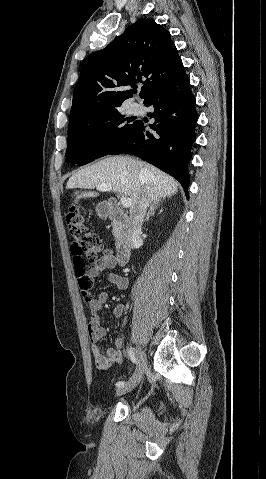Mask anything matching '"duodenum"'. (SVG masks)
<instances>
[{"instance_id": "duodenum-1", "label": "duodenum", "mask_w": 266, "mask_h": 479, "mask_svg": "<svg viewBox=\"0 0 266 479\" xmlns=\"http://www.w3.org/2000/svg\"><path fill=\"white\" fill-rule=\"evenodd\" d=\"M104 212L119 227L120 237L115 261L116 264L123 266L129 261L132 251L129 234L126 232V228L131 223V219L116 201L108 202L104 208Z\"/></svg>"}]
</instances>
